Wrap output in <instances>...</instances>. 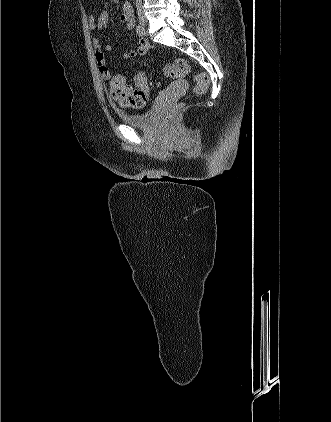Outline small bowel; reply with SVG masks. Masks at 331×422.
<instances>
[{
	"label": "small bowel",
	"instance_id": "1",
	"mask_svg": "<svg viewBox=\"0 0 331 422\" xmlns=\"http://www.w3.org/2000/svg\"><path fill=\"white\" fill-rule=\"evenodd\" d=\"M97 0H93V4H96ZM108 11L106 7L98 14L92 13L88 18V25L93 33H98L101 31H105L108 27ZM120 22L126 26V29L133 35H135V23H134V16L133 11L131 9L130 4L125 3L122 8V13L120 15ZM93 47L95 50V58L96 63L98 66V71L102 79L104 80H111L112 73L107 66L106 61V52L112 50V45L106 44L103 45L98 38L93 40ZM149 51V43L146 39L141 38L138 42V46L136 49H130L122 55L123 59H132L139 55H146ZM120 104L123 106H129L127 103L119 101Z\"/></svg>",
	"mask_w": 331,
	"mask_h": 422
}]
</instances>
